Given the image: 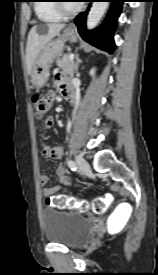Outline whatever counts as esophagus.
<instances>
[{"label": "esophagus", "mask_w": 158, "mask_h": 275, "mask_svg": "<svg viewBox=\"0 0 158 275\" xmlns=\"http://www.w3.org/2000/svg\"><path fill=\"white\" fill-rule=\"evenodd\" d=\"M69 28L72 29V30L76 29L74 25H70Z\"/></svg>", "instance_id": "1"}]
</instances>
